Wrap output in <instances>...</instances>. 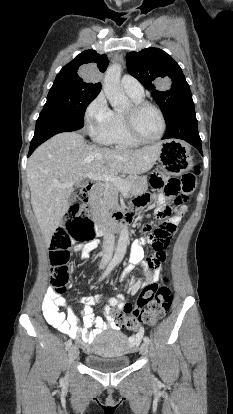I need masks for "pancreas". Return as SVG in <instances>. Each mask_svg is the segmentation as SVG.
Returning <instances> with one entry per match:
<instances>
[{"label": "pancreas", "mask_w": 233, "mask_h": 414, "mask_svg": "<svg viewBox=\"0 0 233 414\" xmlns=\"http://www.w3.org/2000/svg\"><path fill=\"white\" fill-rule=\"evenodd\" d=\"M126 182L130 184V189L127 193L135 194L140 193L144 190V180L134 174H130L127 178L124 179ZM120 189L112 183H106L101 195H100V202L103 209L108 212L110 210H114L118 208V193Z\"/></svg>", "instance_id": "1"}]
</instances>
